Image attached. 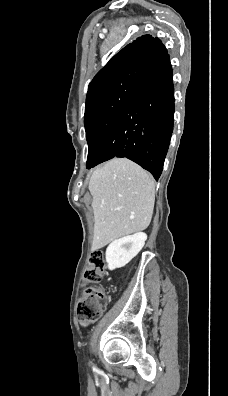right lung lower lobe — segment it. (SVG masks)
<instances>
[{"mask_svg":"<svg viewBox=\"0 0 228 396\" xmlns=\"http://www.w3.org/2000/svg\"><path fill=\"white\" fill-rule=\"evenodd\" d=\"M144 73L115 118L92 167L126 157L158 180L174 121L172 68L162 44L143 62Z\"/></svg>","mask_w":228,"mask_h":396,"instance_id":"98d812e1","label":"right lung lower lobe"}]
</instances>
